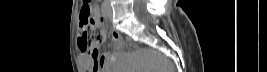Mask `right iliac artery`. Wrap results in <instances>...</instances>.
<instances>
[{"instance_id":"obj_1","label":"right iliac artery","mask_w":267,"mask_h":72,"mask_svg":"<svg viewBox=\"0 0 267 72\" xmlns=\"http://www.w3.org/2000/svg\"><path fill=\"white\" fill-rule=\"evenodd\" d=\"M101 12H102L104 17H108V15H109V6H108L107 3H103L102 4Z\"/></svg>"}]
</instances>
